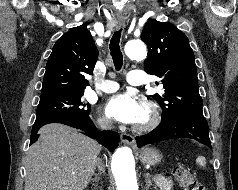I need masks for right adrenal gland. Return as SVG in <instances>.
<instances>
[{"label": "right adrenal gland", "instance_id": "2a0ac1e0", "mask_svg": "<svg viewBox=\"0 0 238 190\" xmlns=\"http://www.w3.org/2000/svg\"><path fill=\"white\" fill-rule=\"evenodd\" d=\"M101 162V161H100ZM104 165L102 164L101 162V171L104 173ZM99 176L98 175H95V178L93 179L95 183H98L99 182Z\"/></svg>", "mask_w": 238, "mask_h": 190}]
</instances>
